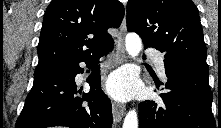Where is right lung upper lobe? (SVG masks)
I'll return each mask as SVG.
<instances>
[{
	"label": "right lung upper lobe",
	"instance_id": "1",
	"mask_svg": "<svg viewBox=\"0 0 221 128\" xmlns=\"http://www.w3.org/2000/svg\"><path fill=\"white\" fill-rule=\"evenodd\" d=\"M124 7L118 0H52L46 9L34 75L73 59L91 58L114 41Z\"/></svg>",
	"mask_w": 221,
	"mask_h": 128
}]
</instances>
